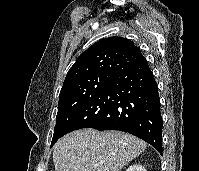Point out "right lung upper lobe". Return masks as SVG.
<instances>
[{
    "mask_svg": "<svg viewBox=\"0 0 199 171\" xmlns=\"http://www.w3.org/2000/svg\"><path fill=\"white\" fill-rule=\"evenodd\" d=\"M144 60L146 59L140 49L126 38L101 39L78 57L67 73L60 94L93 76L101 74L115 76Z\"/></svg>",
    "mask_w": 199,
    "mask_h": 171,
    "instance_id": "obj_1",
    "label": "right lung upper lobe"
}]
</instances>
